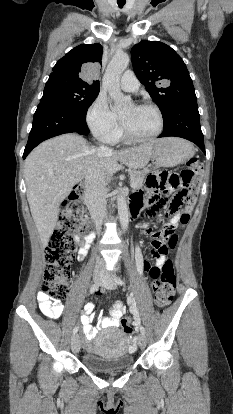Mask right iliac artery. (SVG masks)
I'll return each mask as SVG.
<instances>
[{"label":"right iliac artery","instance_id":"obj_1","mask_svg":"<svg viewBox=\"0 0 233 414\" xmlns=\"http://www.w3.org/2000/svg\"><path fill=\"white\" fill-rule=\"evenodd\" d=\"M98 288H99V283L93 284L90 288V294H93L96 291H98ZM77 331H78V326H75L73 331H72V334L75 335L77 333Z\"/></svg>","mask_w":233,"mask_h":414}]
</instances>
